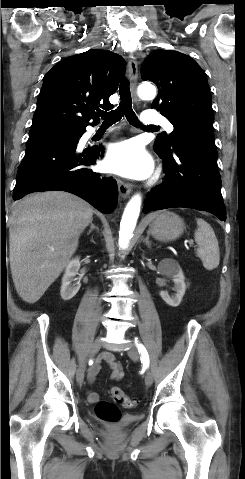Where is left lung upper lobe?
Returning <instances> with one entry per match:
<instances>
[{"instance_id":"5c2ea615","label":"left lung upper lobe","mask_w":245,"mask_h":479,"mask_svg":"<svg viewBox=\"0 0 245 479\" xmlns=\"http://www.w3.org/2000/svg\"><path fill=\"white\" fill-rule=\"evenodd\" d=\"M141 71L144 81H153L158 87L152 108H157L174 126L169 136H157L156 152L168 154L176 143L191 138L214 140L209 85L202 68L190 56L155 50L145 59Z\"/></svg>"}]
</instances>
